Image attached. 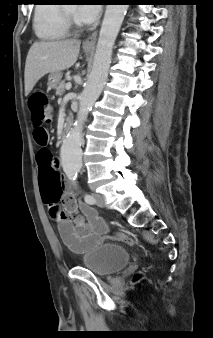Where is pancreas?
Wrapping results in <instances>:
<instances>
[{
	"label": "pancreas",
	"instance_id": "pancreas-1",
	"mask_svg": "<svg viewBox=\"0 0 213 338\" xmlns=\"http://www.w3.org/2000/svg\"><path fill=\"white\" fill-rule=\"evenodd\" d=\"M65 86H66L65 81L59 82L58 86L56 87V95L62 96L65 92Z\"/></svg>",
	"mask_w": 213,
	"mask_h": 338
}]
</instances>
